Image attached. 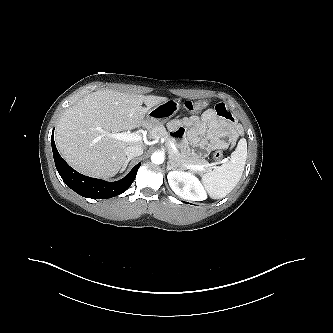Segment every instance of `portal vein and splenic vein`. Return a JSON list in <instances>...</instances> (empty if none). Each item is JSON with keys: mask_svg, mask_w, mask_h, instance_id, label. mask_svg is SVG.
I'll return each instance as SVG.
<instances>
[{"mask_svg": "<svg viewBox=\"0 0 333 333\" xmlns=\"http://www.w3.org/2000/svg\"><path fill=\"white\" fill-rule=\"evenodd\" d=\"M113 138L121 141H127V142H141L142 140H145L146 138H142V136L139 133H129V132H122V133H113L111 134ZM169 144L172 147L174 151L177 152V148L174 145L172 140H169ZM226 160H222L220 163H224ZM212 166L211 164L207 165H188L187 167L192 170L196 171H203L205 167Z\"/></svg>", "mask_w": 333, "mask_h": 333, "instance_id": "portal-vein-and-splenic-vein-1", "label": "portal vein and splenic vein"}]
</instances>
